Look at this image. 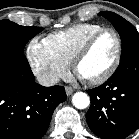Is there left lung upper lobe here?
<instances>
[{"label": "left lung upper lobe", "mask_w": 139, "mask_h": 139, "mask_svg": "<svg viewBox=\"0 0 139 139\" xmlns=\"http://www.w3.org/2000/svg\"><path fill=\"white\" fill-rule=\"evenodd\" d=\"M99 15L109 20L119 32L122 41V57L139 49V33L132 24L110 11H102Z\"/></svg>", "instance_id": "obj_1"}]
</instances>
